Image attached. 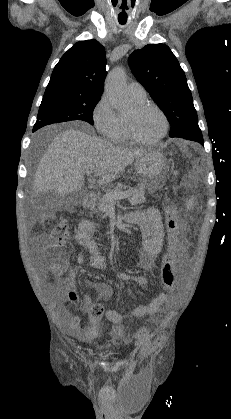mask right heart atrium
Returning <instances> with one entry per match:
<instances>
[{
	"label": "right heart atrium",
	"mask_w": 231,
	"mask_h": 419,
	"mask_svg": "<svg viewBox=\"0 0 231 419\" xmlns=\"http://www.w3.org/2000/svg\"><path fill=\"white\" fill-rule=\"evenodd\" d=\"M93 121L99 133L105 138L117 141L122 135L119 115L114 111L109 98L103 94L93 109Z\"/></svg>",
	"instance_id": "d8ad5b80"
}]
</instances>
